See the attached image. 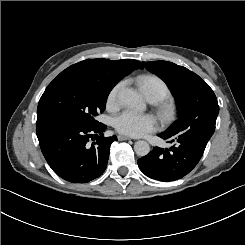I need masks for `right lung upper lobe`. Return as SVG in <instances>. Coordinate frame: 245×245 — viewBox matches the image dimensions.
Instances as JSON below:
<instances>
[{
	"label": "right lung upper lobe",
	"instance_id": "cb5924a9",
	"mask_svg": "<svg viewBox=\"0 0 245 245\" xmlns=\"http://www.w3.org/2000/svg\"><path fill=\"white\" fill-rule=\"evenodd\" d=\"M138 68H143L142 63L133 59L115 61L109 59H87L67 69L97 75L117 84L122 78Z\"/></svg>",
	"mask_w": 245,
	"mask_h": 245
}]
</instances>
